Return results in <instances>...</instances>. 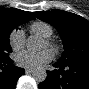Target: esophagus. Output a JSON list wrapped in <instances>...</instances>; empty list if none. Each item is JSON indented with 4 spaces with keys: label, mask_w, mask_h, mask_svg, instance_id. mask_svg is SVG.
I'll list each match as a JSON object with an SVG mask.
<instances>
[{
    "label": "esophagus",
    "mask_w": 89,
    "mask_h": 89,
    "mask_svg": "<svg viewBox=\"0 0 89 89\" xmlns=\"http://www.w3.org/2000/svg\"><path fill=\"white\" fill-rule=\"evenodd\" d=\"M25 71H26L27 74H30V73L33 72V69H31V68H27V69H25Z\"/></svg>",
    "instance_id": "obj_1"
}]
</instances>
